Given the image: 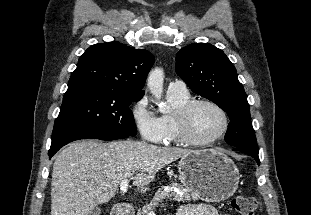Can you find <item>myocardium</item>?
<instances>
[{
	"instance_id": "1",
	"label": "myocardium",
	"mask_w": 311,
	"mask_h": 215,
	"mask_svg": "<svg viewBox=\"0 0 311 215\" xmlns=\"http://www.w3.org/2000/svg\"><path fill=\"white\" fill-rule=\"evenodd\" d=\"M199 105H210L214 107L222 116V126L220 130L214 136L205 140H198L194 138L191 133V116L195 108ZM175 120L177 123L179 138L181 142L194 147L207 146L216 142L225 134L229 126V118L225 109L218 103L210 99H193L189 101L177 110L175 114Z\"/></svg>"
}]
</instances>
